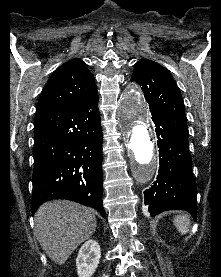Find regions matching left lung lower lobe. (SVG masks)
<instances>
[{
	"label": "left lung lower lobe",
	"instance_id": "0a47b994",
	"mask_svg": "<svg viewBox=\"0 0 221 277\" xmlns=\"http://www.w3.org/2000/svg\"><path fill=\"white\" fill-rule=\"evenodd\" d=\"M156 126L159 164L157 180L144 191L151 216L166 210H186L196 220L197 188L192 174L188 137L155 111H150Z\"/></svg>",
	"mask_w": 221,
	"mask_h": 277
}]
</instances>
